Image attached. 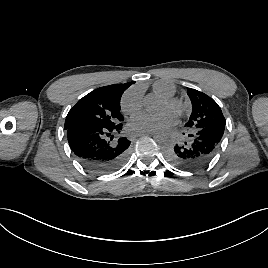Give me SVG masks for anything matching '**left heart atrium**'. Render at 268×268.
Listing matches in <instances>:
<instances>
[{
	"mask_svg": "<svg viewBox=\"0 0 268 268\" xmlns=\"http://www.w3.org/2000/svg\"><path fill=\"white\" fill-rule=\"evenodd\" d=\"M176 121V115L166 110L157 118H150L146 114H136L132 116L129 125L133 130H148L153 127L154 123L162 126H171L174 125Z\"/></svg>",
	"mask_w": 268,
	"mask_h": 268,
	"instance_id": "1",
	"label": "left heart atrium"
}]
</instances>
